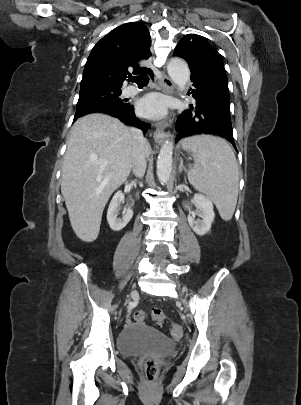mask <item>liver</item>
Returning <instances> with one entry per match:
<instances>
[{
	"instance_id": "obj_1",
	"label": "liver",
	"mask_w": 301,
	"mask_h": 405,
	"mask_svg": "<svg viewBox=\"0 0 301 405\" xmlns=\"http://www.w3.org/2000/svg\"><path fill=\"white\" fill-rule=\"evenodd\" d=\"M132 129L117 118L89 114L72 126L62 167L61 192L71 226L85 242L99 234L102 213L111 194L132 168ZM151 147L145 145L146 157ZM108 162L107 165H102Z\"/></svg>"
}]
</instances>
